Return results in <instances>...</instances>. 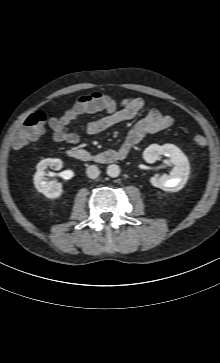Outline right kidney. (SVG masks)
Segmentation results:
<instances>
[{"label": "right kidney", "instance_id": "ca27d5eb", "mask_svg": "<svg viewBox=\"0 0 220 363\" xmlns=\"http://www.w3.org/2000/svg\"><path fill=\"white\" fill-rule=\"evenodd\" d=\"M54 167L55 170H60L63 166V162L60 159L47 158L40 161L37 164V171L34 174L35 188L44 194L48 198H57L62 194V184L57 181H45L46 175L45 169L48 167Z\"/></svg>", "mask_w": 220, "mask_h": 363}]
</instances>
